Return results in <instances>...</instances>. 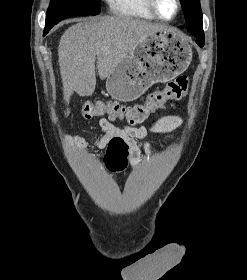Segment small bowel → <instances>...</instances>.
Listing matches in <instances>:
<instances>
[{
	"label": "small bowel",
	"instance_id": "c3829d8e",
	"mask_svg": "<svg viewBox=\"0 0 247 280\" xmlns=\"http://www.w3.org/2000/svg\"><path fill=\"white\" fill-rule=\"evenodd\" d=\"M181 124V118L176 115H167L160 118L151 128L145 126L126 125L116 126L110 119L102 118L99 122L104 134L97 138L92 136L93 144L99 149H105L114 139L124 141L128 147V158L132 167H136L140 161L141 149L136 143L137 139H146L149 133L170 134ZM68 143L74 153L84 151L87 142L79 134L68 136ZM144 153L149 155L152 152V144L149 141L144 143Z\"/></svg>",
	"mask_w": 247,
	"mask_h": 280
}]
</instances>
